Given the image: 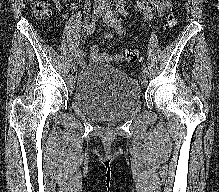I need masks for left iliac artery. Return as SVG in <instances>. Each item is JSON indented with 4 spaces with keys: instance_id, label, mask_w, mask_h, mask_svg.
<instances>
[{
    "instance_id": "44dca946",
    "label": "left iliac artery",
    "mask_w": 219,
    "mask_h": 192,
    "mask_svg": "<svg viewBox=\"0 0 219 192\" xmlns=\"http://www.w3.org/2000/svg\"><path fill=\"white\" fill-rule=\"evenodd\" d=\"M118 27H119V33H120V34L124 33V28H123V26L121 25V22L119 23ZM142 69L147 70L146 64H143V65H142Z\"/></svg>"
}]
</instances>
